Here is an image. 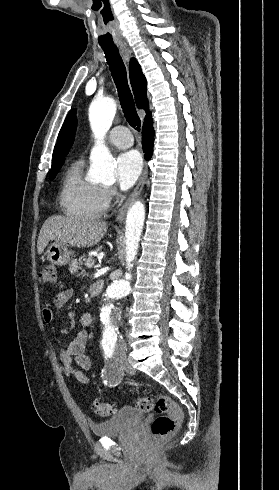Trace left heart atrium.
Listing matches in <instances>:
<instances>
[{
    "mask_svg": "<svg viewBox=\"0 0 279 490\" xmlns=\"http://www.w3.org/2000/svg\"><path fill=\"white\" fill-rule=\"evenodd\" d=\"M143 161L137 151H128L117 159V181L122 190L130 189L139 179Z\"/></svg>",
    "mask_w": 279,
    "mask_h": 490,
    "instance_id": "1",
    "label": "left heart atrium"
}]
</instances>
